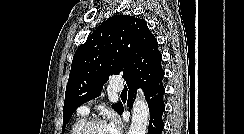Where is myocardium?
<instances>
[{
	"instance_id": "f54148a6",
	"label": "myocardium",
	"mask_w": 244,
	"mask_h": 134,
	"mask_svg": "<svg viewBox=\"0 0 244 134\" xmlns=\"http://www.w3.org/2000/svg\"><path fill=\"white\" fill-rule=\"evenodd\" d=\"M96 125H106V122L99 118L89 119L80 126L76 134H88L90 129Z\"/></svg>"
}]
</instances>
